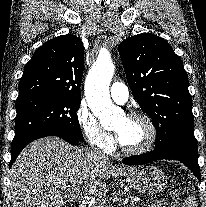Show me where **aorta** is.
Listing matches in <instances>:
<instances>
[{
    "label": "aorta",
    "mask_w": 206,
    "mask_h": 207,
    "mask_svg": "<svg viewBox=\"0 0 206 207\" xmlns=\"http://www.w3.org/2000/svg\"><path fill=\"white\" fill-rule=\"evenodd\" d=\"M115 66L109 57H99L92 66L85 82V96L92 113L106 127L119 115L109 94V85Z\"/></svg>",
    "instance_id": "762f6f07"
}]
</instances>
